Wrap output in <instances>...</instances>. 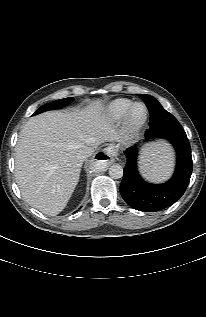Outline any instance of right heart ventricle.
<instances>
[{
  "label": "right heart ventricle",
  "mask_w": 206,
  "mask_h": 317,
  "mask_svg": "<svg viewBox=\"0 0 206 317\" xmlns=\"http://www.w3.org/2000/svg\"><path fill=\"white\" fill-rule=\"evenodd\" d=\"M132 105L133 102L129 99H115L106 106L105 114L110 120L118 121L127 114Z\"/></svg>",
  "instance_id": "1"
}]
</instances>
